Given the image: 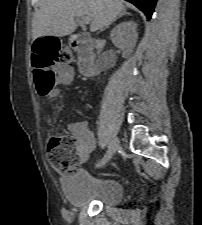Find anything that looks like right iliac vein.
Returning <instances> with one entry per match:
<instances>
[{"label": "right iliac vein", "mask_w": 202, "mask_h": 225, "mask_svg": "<svg viewBox=\"0 0 202 225\" xmlns=\"http://www.w3.org/2000/svg\"><path fill=\"white\" fill-rule=\"evenodd\" d=\"M119 147V139L118 138H114L110 145H109V149L108 152L106 154L107 156V161L111 160V158L114 156L115 152L117 151Z\"/></svg>", "instance_id": "63e3f726"}]
</instances>
